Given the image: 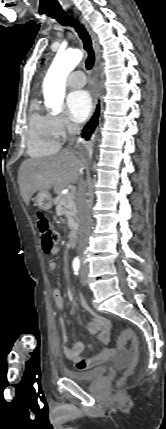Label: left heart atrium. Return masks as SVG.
<instances>
[{
  "label": "left heart atrium",
  "instance_id": "1",
  "mask_svg": "<svg viewBox=\"0 0 166 429\" xmlns=\"http://www.w3.org/2000/svg\"><path fill=\"white\" fill-rule=\"evenodd\" d=\"M66 105L69 118L75 123H82L91 112L92 99L86 90H75L67 96Z\"/></svg>",
  "mask_w": 166,
  "mask_h": 429
}]
</instances>
